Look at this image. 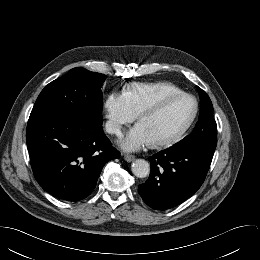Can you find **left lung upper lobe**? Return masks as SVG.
<instances>
[{
	"mask_svg": "<svg viewBox=\"0 0 260 260\" xmlns=\"http://www.w3.org/2000/svg\"><path fill=\"white\" fill-rule=\"evenodd\" d=\"M197 88L201 100L199 120L192 133L175 144V146L181 148H202L215 151L217 145V125L213 117V105L206 92L200 87Z\"/></svg>",
	"mask_w": 260,
	"mask_h": 260,
	"instance_id": "1",
	"label": "left lung upper lobe"
}]
</instances>
